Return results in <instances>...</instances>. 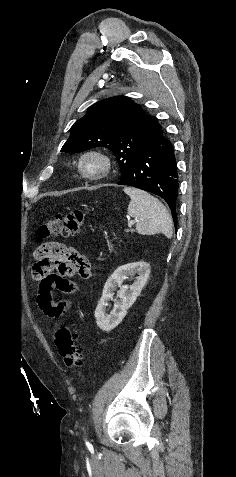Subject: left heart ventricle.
Masks as SVG:
<instances>
[{"mask_svg":"<svg viewBox=\"0 0 236 477\" xmlns=\"http://www.w3.org/2000/svg\"><path fill=\"white\" fill-rule=\"evenodd\" d=\"M101 166V161L93 157L87 158L83 163L84 171L90 174L100 171Z\"/></svg>","mask_w":236,"mask_h":477,"instance_id":"b2bd125f","label":"left heart ventricle"}]
</instances>
